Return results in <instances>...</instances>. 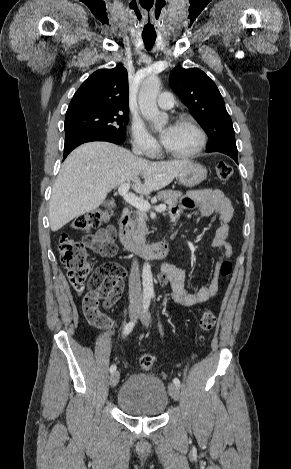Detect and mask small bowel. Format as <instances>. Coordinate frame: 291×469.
Wrapping results in <instances>:
<instances>
[{
    "label": "small bowel",
    "mask_w": 291,
    "mask_h": 469,
    "mask_svg": "<svg viewBox=\"0 0 291 469\" xmlns=\"http://www.w3.org/2000/svg\"><path fill=\"white\" fill-rule=\"evenodd\" d=\"M195 207L199 209L202 218L209 217L215 213L219 214L220 225L216 229L212 244L213 247L222 250V255L216 265L214 276L209 284L202 286L196 292H189L185 288L186 274L183 269L172 262H167L162 266V271L159 276L160 281L162 283H169L173 300L182 306H193L204 303L217 294L219 290V269L221 260L228 259L232 255V248L228 242V237L230 233L229 223L233 218L234 209L230 200L218 189L192 191L183 199L180 207H175L171 210L172 223L179 220L183 210ZM90 238L92 240L89 246L90 249L102 256L110 257L114 255L108 252V246L113 242L114 238V229L112 227L102 229ZM122 290L123 284L115 301L119 299Z\"/></svg>",
    "instance_id": "obj_1"
}]
</instances>
